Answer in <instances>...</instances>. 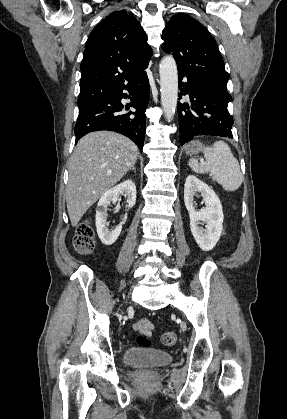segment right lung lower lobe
<instances>
[{
    "mask_svg": "<svg viewBox=\"0 0 287 419\" xmlns=\"http://www.w3.org/2000/svg\"><path fill=\"white\" fill-rule=\"evenodd\" d=\"M127 90L129 95L123 93ZM130 98V106L135 112L125 113L121 100ZM149 102V81L147 74L119 91L104 95L79 112L75 125L77 141L89 132L109 130L121 133L130 138L140 150L145 140V111Z\"/></svg>",
    "mask_w": 287,
    "mask_h": 419,
    "instance_id": "right-lung-lower-lobe-1",
    "label": "right lung lower lobe"
}]
</instances>
